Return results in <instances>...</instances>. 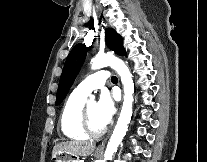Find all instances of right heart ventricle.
Wrapping results in <instances>:
<instances>
[{"label":"right heart ventricle","mask_w":207,"mask_h":162,"mask_svg":"<svg viewBox=\"0 0 207 162\" xmlns=\"http://www.w3.org/2000/svg\"><path fill=\"white\" fill-rule=\"evenodd\" d=\"M86 95L73 91L66 100L59 119L62 133L69 139L83 141L88 136L80 126L81 110L85 104Z\"/></svg>","instance_id":"right-heart-ventricle-1"}]
</instances>
